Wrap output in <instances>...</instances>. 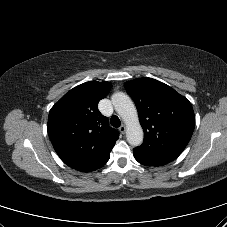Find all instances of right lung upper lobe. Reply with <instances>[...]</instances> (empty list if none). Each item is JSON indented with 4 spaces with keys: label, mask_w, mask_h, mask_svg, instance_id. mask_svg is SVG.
<instances>
[{
    "label": "right lung upper lobe",
    "mask_w": 227,
    "mask_h": 227,
    "mask_svg": "<svg viewBox=\"0 0 227 227\" xmlns=\"http://www.w3.org/2000/svg\"><path fill=\"white\" fill-rule=\"evenodd\" d=\"M112 84L90 81L67 92L50 110L48 134L59 157L71 168L96 162L110 151L119 133L97 109Z\"/></svg>",
    "instance_id": "right-lung-upper-lobe-1"
}]
</instances>
